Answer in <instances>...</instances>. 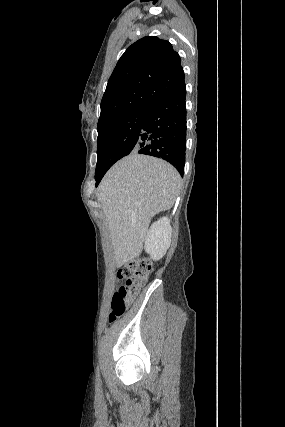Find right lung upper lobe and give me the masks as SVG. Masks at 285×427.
<instances>
[{
  "instance_id": "cb5924a9",
  "label": "right lung upper lobe",
  "mask_w": 285,
  "mask_h": 427,
  "mask_svg": "<svg viewBox=\"0 0 285 427\" xmlns=\"http://www.w3.org/2000/svg\"><path fill=\"white\" fill-rule=\"evenodd\" d=\"M180 56L172 45L147 36L119 59L101 101L98 126L122 114L147 108L184 84Z\"/></svg>"
}]
</instances>
